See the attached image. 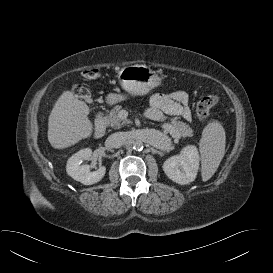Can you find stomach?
I'll use <instances>...</instances> for the list:
<instances>
[{"mask_svg": "<svg viewBox=\"0 0 273 273\" xmlns=\"http://www.w3.org/2000/svg\"><path fill=\"white\" fill-rule=\"evenodd\" d=\"M117 77L121 87L133 96L146 95L162 83V78L158 73L144 65L123 67ZM125 99V95L117 93H110L106 97L107 103L111 105Z\"/></svg>", "mask_w": 273, "mask_h": 273, "instance_id": "0dacf381", "label": "stomach"}]
</instances>
